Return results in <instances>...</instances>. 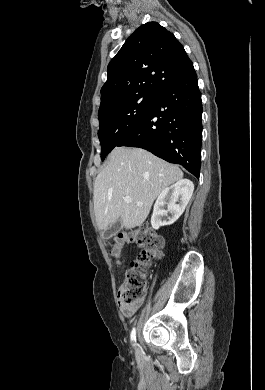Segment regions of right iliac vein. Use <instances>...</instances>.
I'll return each mask as SVG.
<instances>
[{
    "label": "right iliac vein",
    "mask_w": 265,
    "mask_h": 390,
    "mask_svg": "<svg viewBox=\"0 0 265 390\" xmlns=\"http://www.w3.org/2000/svg\"><path fill=\"white\" fill-rule=\"evenodd\" d=\"M141 355L140 348L137 346L136 347V356L139 357Z\"/></svg>",
    "instance_id": "63e3f726"
}]
</instances>
